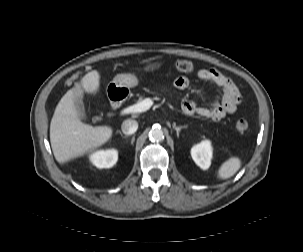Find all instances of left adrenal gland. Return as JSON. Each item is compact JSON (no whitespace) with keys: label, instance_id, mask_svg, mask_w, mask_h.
Returning a JSON list of instances; mask_svg holds the SVG:
<instances>
[{"label":"left adrenal gland","instance_id":"left-adrenal-gland-1","mask_svg":"<svg viewBox=\"0 0 303 252\" xmlns=\"http://www.w3.org/2000/svg\"><path fill=\"white\" fill-rule=\"evenodd\" d=\"M184 128H187V125L177 127L176 123H173V129L176 130L177 136H179L180 131Z\"/></svg>","mask_w":303,"mask_h":252}]
</instances>
